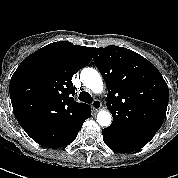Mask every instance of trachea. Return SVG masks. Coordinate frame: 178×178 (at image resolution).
Returning a JSON list of instances; mask_svg holds the SVG:
<instances>
[{
    "instance_id": "trachea-1",
    "label": "trachea",
    "mask_w": 178,
    "mask_h": 178,
    "mask_svg": "<svg viewBox=\"0 0 178 178\" xmlns=\"http://www.w3.org/2000/svg\"><path fill=\"white\" fill-rule=\"evenodd\" d=\"M79 100L85 102V103H92L93 99L91 97V95L88 93V92H85V91H82L80 94H79Z\"/></svg>"
}]
</instances>
